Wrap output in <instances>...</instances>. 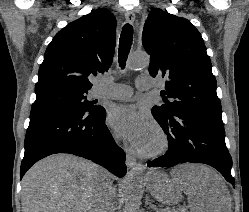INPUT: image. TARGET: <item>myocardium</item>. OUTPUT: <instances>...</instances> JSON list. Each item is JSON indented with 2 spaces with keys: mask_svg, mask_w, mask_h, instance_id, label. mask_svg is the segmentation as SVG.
I'll return each instance as SVG.
<instances>
[{
  "mask_svg": "<svg viewBox=\"0 0 249 212\" xmlns=\"http://www.w3.org/2000/svg\"><path fill=\"white\" fill-rule=\"evenodd\" d=\"M151 127L158 136L159 142L158 145L151 150H141L140 155L146 158H154L164 155L170 147V138L167 134V131L159 124L157 121H152L149 123Z\"/></svg>",
  "mask_w": 249,
  "mask_h": 212,
  "instance_id": "myocardium-1",
  "label": "myocardium"
}]
</instances>
